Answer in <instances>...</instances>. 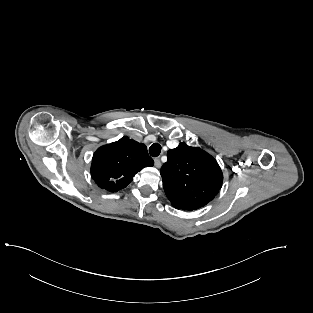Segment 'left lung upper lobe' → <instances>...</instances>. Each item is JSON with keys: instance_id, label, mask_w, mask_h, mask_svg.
Wrapping results in <instances>:
<instances>
[{"instance_id": "obj_1", "label": "left lung upper lobe", "mask_w": 313, "mask_h": 313, "mask_svg": "<svg viewBox=\"0 0 313 313\" xmlns=\"http://www.w3.org/2000/svg\"><path fill=\"white\" fill-rule=\"evenodd\" d=\"M167 157L160 173L164 191L175 208L192 211L214 199L223 174L210 154L180 143L167 152Z\"/></svg>"}]
</instances>
